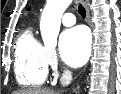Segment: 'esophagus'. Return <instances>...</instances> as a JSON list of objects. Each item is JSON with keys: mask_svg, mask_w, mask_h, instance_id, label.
Instances as JSON below:
<instances>
[{"mask_svg": "<svg viewBox=\"0 0 121 94\" xmlns=\"http://www.w3.org/2000/svg\"><path fill=\"white\" fill-rule=\"evenodd\" d=\"M81 2H82L83 6H84V7H85V9H86L87 17H88V20L90 21V16H89V7H88L89 2H88V0H81Z\"/></svg>", "mask_w": 121, "mask_h": 94, "instance_id": "34e87169", "label": "esophagus"}]
</instances>
